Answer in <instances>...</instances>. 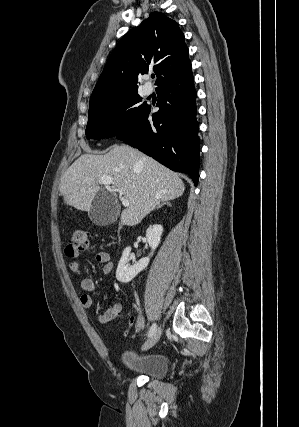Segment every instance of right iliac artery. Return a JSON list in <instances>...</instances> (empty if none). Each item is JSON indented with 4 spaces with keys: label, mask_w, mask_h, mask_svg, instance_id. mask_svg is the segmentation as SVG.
Listing matches in <instances>:
<instances>
[{
    "label": "right iliac artery",
    "mask_w": 299,
    "mask_h": 427,
    "mask_svg": "<svg viewBox=\"0 0 299 427\" xmlns=\"http://www.w3.org/2000/svg\"><path fill=\"white\" fill-rule=\"evenodd\" d=\"M156 331V324H153L148 332V337L152 336Z\"/></svg>",
    "instance_id": "right-iliac-artery-1"
}]
</instances>
